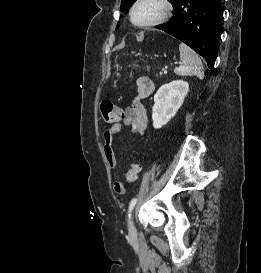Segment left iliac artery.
Segmentation results:
<instances>
[{"mask_svg":"<svg viewBox=\"0 0 261 273\" xmlns=\"http://www.w3.org/2000/svg\"><path fill=\"white\" fill-rule=\"evenodd\" d=\"M136 202H137V198H134V199L131 200V202L129 204V209H128V213H129L128 215H129V217H130V213L133 210Z\"/></svg>","mask_w":261,"mask_h":273,"instance_id":"1","label":"left iliac artery"}]
</instances>
